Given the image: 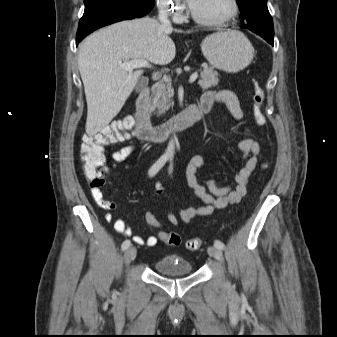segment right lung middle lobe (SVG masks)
Returning a JSON list of instances; mask_svg holds the SVG:
<instances>
[{"mask_svg":"<svg viewBox=\"0 0 337 337\" xmlns=\"http://www.w3.org/2000/svg\"><path fill=\"white\" fill-rule=\"evenodd\" d=\"M87 1V0H84V2ZM138 1H150V0H138Z\"/></svg>","mask_w":337,"mask_h":337,"instance_id":"dd1d6c3e","label":"right lung middle lobe"}]
</instances>
